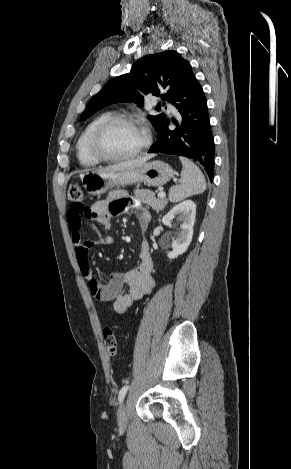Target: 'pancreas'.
Masks as SVG:
<instances>
[{
	"label": "pancreas",
	"mask_w": 291,
	"mask_h": 469,
	"mask_svg": "<svg viewBox=\"0 0 291 469\" xmlns=\"http://www.w3.org/2000/svg\"><path fill=\"white\" fill-rule=\"evenodd\" d=\"M134 198L148 206L152 207L156 212L162 211L168 204V200L164 198H156L155 193L148 189H136Z\"/></svg>",
	"instance_id": "pancreas-1"
}]
</instances>
